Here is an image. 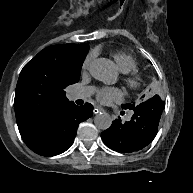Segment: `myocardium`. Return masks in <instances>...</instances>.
Here are the masks:
<instances>
[{"label": "myocardium", "instance_id": "myocardium-1", "mask_svg": "<svg viewBox=\"0 0 193 193\" xmlns=\"http://www.w3.org/2000/svg\"><path fill=\"white\" fill-rule=\"evenodd\" d=\"M123 84L127 89L134 90L138 87V78L135 76H122Z\"/></svg>", "mask_w": 193, "mask_h": 193}]
</instances>
